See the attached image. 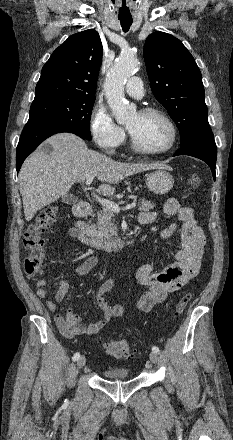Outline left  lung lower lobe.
Segmentation results:
<instances>
[{"label":"left lung lower lobe","mask_w":233,"mask_h":440,"mask_svg":"<svg viewBox=\"0 0 233 440\" xmlns=\"http://www.w3.org/2000/svg\"><path fill=\"white\" fill-rule=\"evenodd\" d=\"M189 155L206 162L211 168L215 180V165L217 159V148L214 142L213 133L199 137L189 143L180 146V149L173 155Z\"/></svg>","instance_id":"obj_1"}]
</instances>
